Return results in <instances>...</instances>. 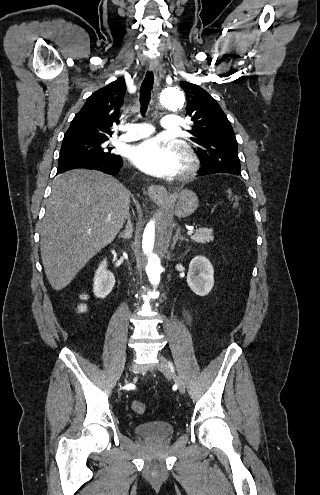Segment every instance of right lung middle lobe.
<instances>
[{
    "label": "right lung middle lobe",
    "instance_id": "obj_1",
    "mask_svg": "<svg viewBox=\"0 0 320 495\" xmlns=\"http://www.w3.org/2000/svg\"><path fill=\"white\" fill-rule=\"evenodd\" d=\"M109 138H86L63 140L59 163L67 160H108L118 157L112 154L111 149L107 145Z\"/></svg>",
    "mask_w": 320,
    "mask_h": 495
}]
</instances>
